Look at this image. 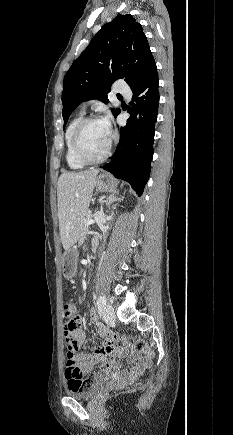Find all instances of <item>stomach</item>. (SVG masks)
<instances>
[{"mask_svg":"<svg viewBox=\"0 0 233 435\" xmlns=\"http://www.w3.org/2000/svg\"><path fill=\"white\" fill-rule=\"evenodd\" d=\"M96 190L99 192H114L116 183L108 173H102L96 177ZM78 253L75 249L69 248L62 255V272L67 279H72L77 274Z\"/></svg>","mask_w":233,"mask_h":435,"instance_id":"stomach-1","label":"stomach"}]
</instances>
